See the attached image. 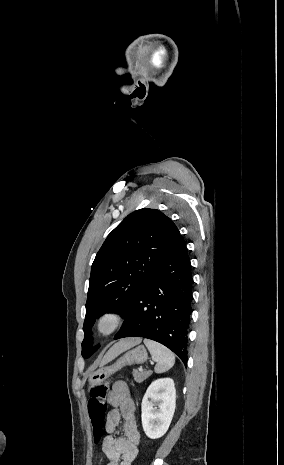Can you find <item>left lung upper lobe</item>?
Returning <instances> with one entry per match:
<instances>
[{"label":"left lung upper lobe","instance_id":"obj_1","mask_svg":"<svg viewBox=\"0 0 284 465\" xmlns=\"http://www.w3.org/2000/svg\"><path fill=\"white\" fill-rule=\"evenodd\" d=\"M180 232L156 209L129 214L106 238L92 264L83 325L82 355L91 356V328L107 312L125 317L133 299L167 256Z\"/></svg>","mask_w":284,"mask_h":465}]
</instances>
